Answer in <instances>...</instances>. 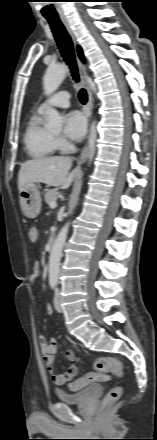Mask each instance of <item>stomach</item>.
I'll return each mask as SVG.
<instances>
[{"instance_id": "1", "label": "stomach", "mask_w": 157, "mask_h": 440, "mask_svg": "<svg viewBox=\"0 0 157 440\" xmlns=\"http://www.w3.org/2000/svg\"><path fill=\"white\" fill-rule=\"evenodd\" d=\"M20 207L25 216L35 218L41 211V197L38 186L31 184L19 192Z\"/></svg>"}]
</instances>
